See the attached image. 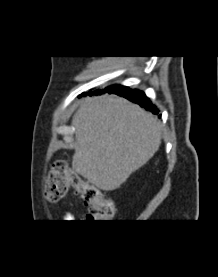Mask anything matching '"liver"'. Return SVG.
I'll return each mask as SVG.
<instances>
[{"label": "liver", "instance_id": "1", "mask_svg": "<svg viewBox=\"0 0 218 277\" xmlns=\"http://www.w3.org/2000/svg\"><path fill=\"white\" fill-rule=\"evenodd\" d=\"M73 169L104 191L119 188L158 151L161 124L114 95L86 98L73 116Z\"/></svg>", "mask_w": 218, "mask_h": 277}]
</instances>
